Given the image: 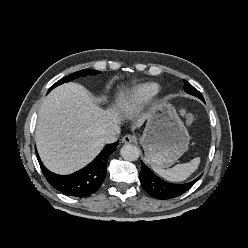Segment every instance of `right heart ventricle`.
<instances>
[{
    "instance_id": "1",
    "label": "right heart ventricle",
    "mask_w": 248,
    "mask_h": 248,
    "mask_svg": "<svg viewBox=\"0 0 248 248\" xmlns=\"http://www.w3.org/2000/svg\"><path fill=\"white\" fill-rule=\"evenodd\" d=\"M159 90V85L154 82L136 85L120 96L117 102V110L122 114L137 112L144 104L157 95Z\"/></svg>"
}]
</instances>
